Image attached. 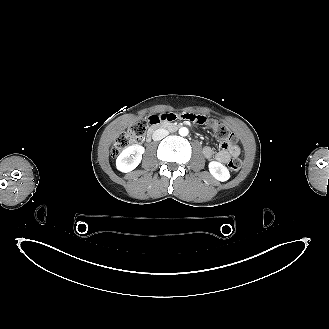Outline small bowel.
<instances>
[{
  "mask_svg": "<svg viewBox=\"0 0 329 329\" xmlns=\"http://www.w3.org/2000/svg\"><path fill=\"white\" fill-rule=\"evenodd\" d=\"M160 121H174L193 124L197 128H202L208 123V118L205 115H196L194 113H164L158 114ZM203 154L206 158H214L218 162L226 163L231 158L237 157L240 154V149L237 145L224 146L218 152H214L211 147H204Z\"/></svg>",
  "mask_w": 329,
  "mask_h": 329,
  "instance_id": "obj_1",
  "label": "small bowel"
}]
</instances>
